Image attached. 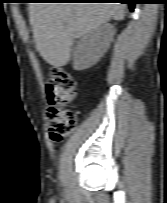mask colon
<instances>
[{"label": "colon", "instance_id": "colon-1", "mask_svg": "<svg viewBox=\"0 0 167 203\" xmlns=\"http://www.w3.org/2000/svg\"><path fill=\"white\" fill-rule=\"evenodd\" d=\"M46 89L49 101V134L53 142H58L71 134L77 123L75 113L68 106L76 96L77 83L67 69L54 66L50 69Z\"/></svg>", "mask_w": 167, "mask_h": 203}]
</instances>
